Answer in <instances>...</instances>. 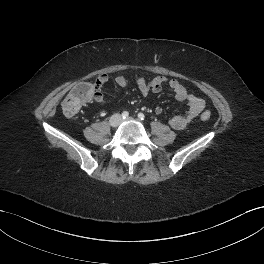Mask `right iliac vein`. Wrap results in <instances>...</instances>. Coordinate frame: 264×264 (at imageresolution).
<instances>
[{
    "instance_id": "right-iliac-vein-1",
    "label": "right iliac vein",
    "mask_w": 264,
    "mask_h": 264,
    "mask_svg": "<svg viewBox=\"0 0 264 264\" xmlns=\"http://www.w3.org/2000/svg\"><path fill=\"white\" fill-rule=\"evenodd\" d=\"M120 121H121V117H120V115L115 114V115H113V116L110 118V125H111L112 127H116V126L119 125Z\"/></svg>"
}]
</instances>
